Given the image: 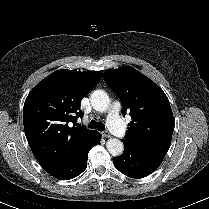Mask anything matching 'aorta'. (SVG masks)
Instances as JSON below:
<instances>
[{
	"label": "aorta",
	"mask_w": 209,
	"mask_h": 209,
	"mask_svg": "<svg viewBox=\"0 0 209 209\" xmlns=\"http://www.w3.org/2000/svg\"><path fill=\"white\" fill-rule=\"evenodd\" d=\"M90 101L93 108L98 112H105L110 105L108 94L101 89L94 90L90 96ZM106 148L112 156H119L123 153L124 145L121 140L110 138L106 142Z\"/></svg>",
	"instance_id": "762f6f07"
}]
</instances>
